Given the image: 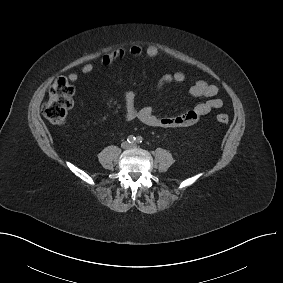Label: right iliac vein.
Instances as JSON below:
<instances>
[{
  "mask_svg": "<svg viewBox=\"0 0 283 283\" xmlns=\"http://www.w3.org/2000/svg\"><path fill=\"white\" fill-rule=\"evenodd\" d=\"M121 147H122L123 149H127V148L130 147V144H129L128 142H123V143L121 144Z\"/></svg>",
  "mask_w": 283,
  "mask_h": 283,
  "instance_id": "1",
  "label": "right iliac vein"
}]
</instances>
